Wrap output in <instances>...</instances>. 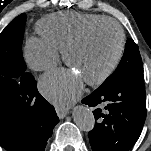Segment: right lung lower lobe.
Returning a JSON list of instances; mask_svg holds the SVG:
<instances>
[{
  "label": "right lung lower lobe",
  "mask_w": 151,
  "mask_h": 151,
  "mask_svg": "<svg viewBox=\"0 0 151 151\" xmlns=\"http://www.w3.org/2000/svg\"><path fill=\"white\" fill-rule=\"evenodd\" d=\"M0 100L11 111V131L0 145L7 151H44L58 123L54 107L37 90L32 74L18 79L0 75Z\"/></svg>",
  "instance_id": "right-lung-lower-lobe-1"
}]
</instances>
